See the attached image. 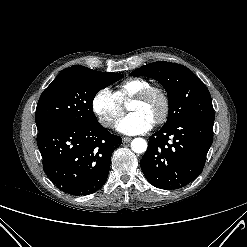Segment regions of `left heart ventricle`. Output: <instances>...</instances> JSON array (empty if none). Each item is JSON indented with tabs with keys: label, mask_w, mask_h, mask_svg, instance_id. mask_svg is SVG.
<instances>
[{
	"label": "left heart ventricle",
	"mask_w": 247,
	"mask_h": 247,
	"mask_svg": "<svg viewBox=\"0 0 247 247\" xmlns=\"http://www.w3.org/2000/svg\"><path fill=\"white\" fill-rule=\"evenodd\" d=\"M162 100L155 95L144 102L132 101L128 108L131 112H140L155 121L162 111Z\"/></svg>",
	"instance_id": "b2bd125f"
}]
</instances>
